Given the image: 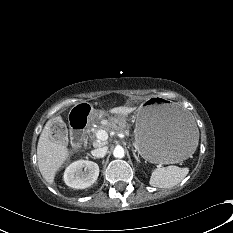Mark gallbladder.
<instances>
[{
	"label": "gallbladder",
	"instance_id": "obj_1",
	"mask_svg": "<svg viewBox=\"0 0 233 233\" xmlns=\"http://www.w3.org/2000/svg\"><path fill=\"white\" fill-rule=\"evenodd\" d=\"M62 127H64V123L60 122L59 123V127L57 128V134H58V137L61 140H64L65 139V135H66V131L64 129H62Z\"/></svg>",
	"mask_w": 233,
	"mask_h": 233
}]
</instances>
